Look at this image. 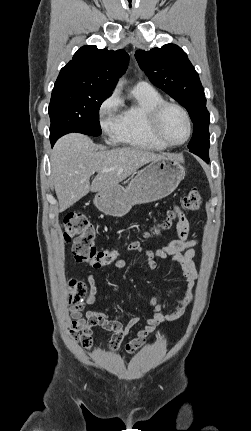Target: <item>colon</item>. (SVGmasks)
Returning <instances> with one entry per match:
<instances>
[{
  "mask_svg": "<svg viewBox=\"0 0 251 431\" xmlns=\"http://www.w3.org/2000/svg\"><path fill=\"white\" fill-rule=\"evenodd\" d=\"M201 199L196 189H190L181 199L180 206L170 210L162 224L152 230L156 233L160 229L171 226L181 210L196 211L200 208ZM63 237L67 243H72V253L78 262L88 263L94 268H100L115 262L119 253L115 249H98L96 247L97 233L93 223L81 213H69L63 219ZM69 302L82 305L87 295L86 285L77 280L69 282Z\"/></svg>",
  "mask_w": 251,
  "mask_h": 431,
  "instance_id": "obj_1",
  "label": "colon"
}]
</instances>
